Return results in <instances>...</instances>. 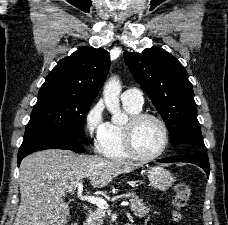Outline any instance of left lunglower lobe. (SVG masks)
I'll return each instance as SVG.
<instances>
[{
    "label": "left lung lower lobe",
    "mask_w": 228,
    "mask_h": 225,
    "mask_svg": "<svg viewBox=\"0 0 228 225\" xmlns=\"http://www.w3.org/2000/svg\"><path fill=\"white\" fill-rule=\"evenodd\" d=\"M159 162L162 163H167V162H187V163H193L198 166H200L207 174L209 177V172H210V165L207 156L205 153H191L187 155H180V156H173L165 159L158 160Z\"/></svg>",
    "instance_id": "obj_1"
}]
</instances>
